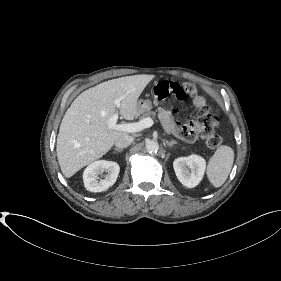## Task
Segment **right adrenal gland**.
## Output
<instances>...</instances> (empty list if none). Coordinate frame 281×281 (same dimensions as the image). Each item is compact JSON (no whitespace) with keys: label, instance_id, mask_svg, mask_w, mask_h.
Wrapping results in <instances>:
<instances>
[{"label":"right adrenal gland","instance_id":"obj_1","mask_svg":"<svg viewBox=\"0 0 281 281\" xmlns=\"http://www.w3.org/2000/svg\"><path fill=\"white\" fill-rule=\"evenodd\" d=\"M114 150L117 151V152H122L123 151L122 149H119V148H116V147L114 148Z\"/></svg>","mask_w":281,"mask_h":281}]
</instances>
